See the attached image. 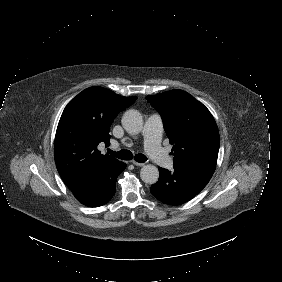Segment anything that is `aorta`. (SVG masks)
I'll return each instance as SVG.
<instances>
[{"label":"aorta","instance_id":"1","mask_svg":"<svg viewBox=\"0 0 282 282\" xmlns=\"http://www.w3.org/2000/svg\"><path fill=\"white\" fill-rule=\"evenodd\" d=\"M122 125L127 132L137 133L143 125V116L137 109H128L122 115ZM142 181L146 184H155L159 179V170L153 165H145L140 172Z\"/></svg>","mask_w":282,"mask_h":282}]
</instances>
